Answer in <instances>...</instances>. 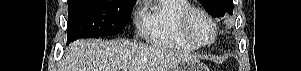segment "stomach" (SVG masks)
Instances as JSON below:
<instances>
[{
    "instance_id": "stomach-1",
    "label": "stomach",
    "mask_w": 301,
    "mask_h": 71,
    "mask_svg": "<svg viewBox=\"0 0 301 71\" xmlns=\"http://www.w3.org/2000/svg\"><path fill=\"white\" fill-rule=\"evenodd\" d=\"M171 71H208V69L196 58H188Z\"/></svg>"
}]
</instances>
